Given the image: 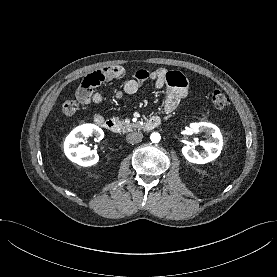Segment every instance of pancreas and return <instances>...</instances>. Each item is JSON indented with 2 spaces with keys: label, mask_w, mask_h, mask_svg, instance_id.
Returning <instances> with one entry per match:
<instances>
[{
  "label": "pancreas",
  "mask_w": 277,
  "mask_h": 277,
  "mask_svg": "<svg viewBox=\"0 0 277 277\" xmlns=\"http://www.w3.org/2000/svg\"><path fill=\"white\" fill-rule=\"evenodd\" d=\"M115 120L123 132L132 131L133 129H141L142 127L139 123H129L124 120H119V118H115Z\"/></svg>",
  "instance_id": "pancreas-1"
}]
</instances>
